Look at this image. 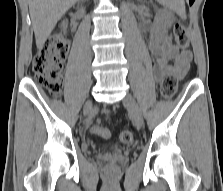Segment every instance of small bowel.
I'll list each match as a JSON object with an SVG mask.
<instances>
[{"label":"small bowel","mask_w":223,"mask_h":191,"mask_svg":"<svg viewBox=\"0 0 223 191\" xmlns=\"http://www.w3.org/2000/svg\"><path fill=\"white\" fill-rule=\"evenodd\" d=\"M149 49L154 57V73L157 79L171 71L178 77H183L187 73L192 58L190 51L181 50L168 39H152Z\"/></svg>","instance_id":"c3829d8e"}]
</instances>
